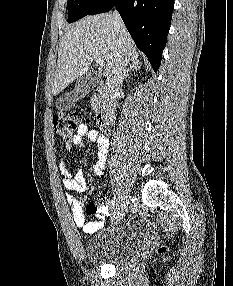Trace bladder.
Returning <instances> with one entry per match:
<instances>
[{
    "label": "bladder",
    "instance_id": "1",
    "mask_svg": "<svg viewBox=\"0 0 233 286\" xmlns=\"http://www.w3.org/2000/svg\"><path fill=\"white\" fill-rule=\"evenodd\" d=\"M141 241V230L135 225L101 232L85 245L84 259L92 265L118 266L136 254Z\"/></svg>",
    "mask_w": 233,
    "mask_h": 286
}]
</instances>
